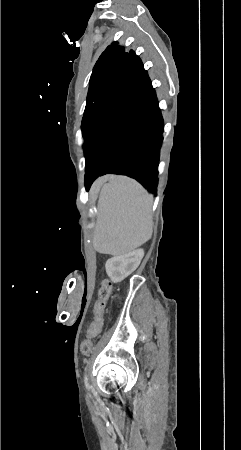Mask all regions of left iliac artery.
<instances>
[{
	"label": "left iliac artery",
	"mask_w": 241,
	"mask_h": 450,
	"mask_svg": "<svg viewBox=\"0 0 241 450\" xmlns=\"http://www.w3.org/2000/svg\"><path fill=\"white\" fill-rule=\"evenodd\" d=\"M84 384H85L86 389H87L88 391H90L92 387H91V385H90V383H89V379H88L87 374L84 375Z\"/></svg>",
	"instance_id": "left-iliac-artery-1"
}]
</instances>
